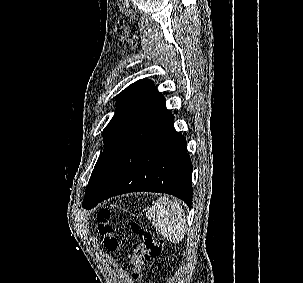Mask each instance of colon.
Wrapping results in <instances>:
<instances>
[{"instance_id": "5ec220e1", "label": "colon", "mask_w": 303, "mask_h": 283, "mask_svg": "<svg viewBox=\"0 0 303 283\" xmlns=\"http://www.w3.org/2000/svg\"><path fill=\"white\" fill-rule=\"evenodd\" d=\"M112 212L108 208H102L97 215V228L104 237L105 244L110 249L118 246V237L111 222ZM133 232L137 233L140 239L133 244L129 254V263L136 278H141L146 264L160 256L162 252V241L150 229L138 223L132 224Z\"/></svg>"}]
</instances>
